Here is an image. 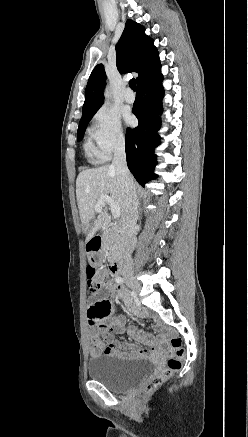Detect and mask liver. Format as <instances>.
Returning <instances> with one entry per match:
<instances>
[{
    "label": "liver",
    "instance_id": "1",
    "mask_svg": "<svg viewBox=\"0 0 248 437\" xmlns=\"http://www.w3.org/2000/svg\"><path fill=\"white\" fill-rule=\"evenodd\" d=\"M109 196L125 214L124 192L120 186L116 170L112 166H101L83 170L76 180V198L83 230L87 233L86 241L91 240L99 231H105L111 221L108 209L104 205L98 217L95 210L100 196Z\"/></svg>",
    "mask_w": 248,
    "mask_h": 437
}]
</instances>
